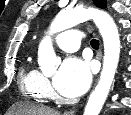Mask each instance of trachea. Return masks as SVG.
<instances>
[{
	"mask_svg": "<svg viewBox=\"0 0 131 115\" xmlns=\"http://www.w3.org/2000/svg\"><path fill=\"white\" fill-rule=\"evenodd\" d=\"M91 46H92L94 49H98V48H99V41L96 40V39H92V40H91Z\"/></svg>",
	"mask_w": 131,
	"mask_h": 115,
	"instance_id": "trachea-1",
	"label": "trachea"
}]
</instances>
